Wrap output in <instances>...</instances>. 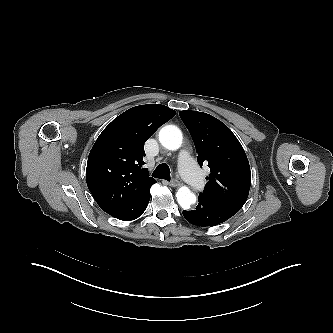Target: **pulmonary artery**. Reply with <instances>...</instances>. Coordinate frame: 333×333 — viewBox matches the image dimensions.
Returning <instances> with one entry per match:
<instances>
[{
    "label": "pulmonary artery",
    "mask_w": 333,
    "mask_h": 333,
    "mask_svg": "<svg viewBox=\"0 0 333 333\" xmlns=\"http://www.w3.org/2000/svg\"><path fill=\"white\" fill-rule=\"evenodd\" d=\"M178 165L180 173L194 189L201 190L204 187L203 177L187 151L179 154Z\"/></svg>",
    "instance_id": "obj_1"
}]
</instances>
